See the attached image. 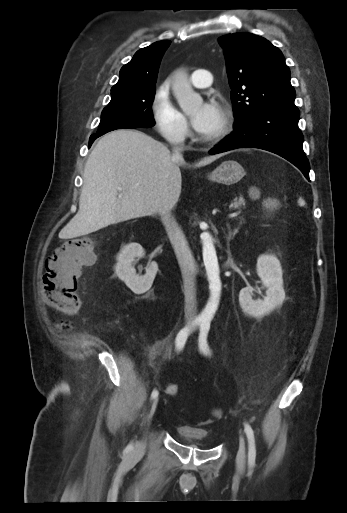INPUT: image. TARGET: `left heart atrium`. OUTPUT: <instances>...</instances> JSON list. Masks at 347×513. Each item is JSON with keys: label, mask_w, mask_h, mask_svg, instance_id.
<instances>
[{"label": "left heart atrium", "mask_w": 347, "mask_h": 513, "mask_svg": "<svg viewBox=\"0 0 347 513\" xmlns=\"http://www.w3.org/2000/svg\"><path fill=\"white\" fill-rule=\"evenodd\" d=\"M222 113L217 104L203 103L199 111L192 117L194 129L202 134L210 130L220 119Z\"/></svg>", "instance_id": "obj_1"}]
</instances>
